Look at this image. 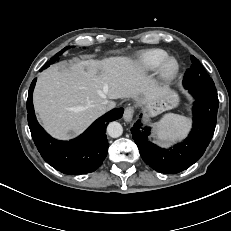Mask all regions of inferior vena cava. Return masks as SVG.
Masks as SVG:
<instances>
[{
  "mask_svg": "<svg viewBox=\"0 0 231 231\" xmlns=\"http://www.w3.org/2000/svg\"><path fill=\"white\" fill-rule=\"evenodd\" d=\"M113 106L110 104V102L108 100H104L101 102L100 104V109L102 111H106L107 109L112 108Z\"/></svg>",
  "mask_w": 231,
  "mask_h": 231,
  "instance_id": "obj_1",
  "label": "inferior vena cava"
}]
</instances>
